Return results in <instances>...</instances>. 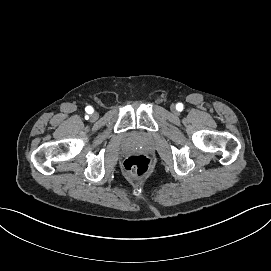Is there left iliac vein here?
<instances>
[{
	"mask_svg": "<svg viewBox=\"0 0 271 271\" xmlns=\"http://www.w3.org/2000/svg\"><path fill=\"white\" fill-rule=\"evenodd\" d=\"M171 111L174 112V113L176 112V107H175V105H172V106H171Z\"/></svg>",
	"mask_w": 271,
	"mask_h": 271,
	"instance_id": "obj_1",
	"label": "left iliac vein"
}]
</instances>
